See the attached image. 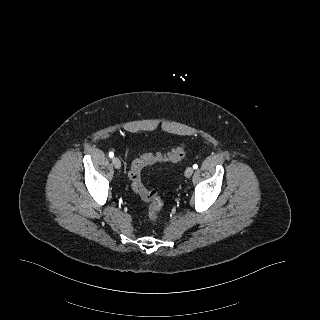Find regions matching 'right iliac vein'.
I'll list each match as a JSON object with an SVG mask.
<instances>
[{
	"label": "right iliac vein",
	"mask_w": 320,
	"mask_h": 320,
	"mask_svg": "<svg viewBox=\"0 0 320 320\" xmlns=\"http://www.w3.org/2000/svg\"><path fill=\"white\" fill-rule=\"evenodd\" d=\"M112 164L116 169H120L121 168V161L117 157H114L112 159Z\"/></svg>",
	"instance_id": "obj_1"
}]
</instances>
